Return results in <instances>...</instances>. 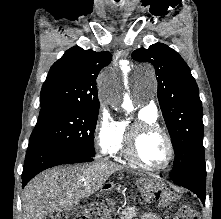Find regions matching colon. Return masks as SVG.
<instances>
[{
	"label": "colon",
	"instance_id": "colon-1",
	"mask_svg": "<svg viewBox=\"0 0 221 219\" xmlns=\"http://www.w3.org/2000/svg\"><path fill=\"white\" fill-rule=\"evenodd\" d=\"M102 213L100 208H76L58 215L57 219H95ZM172 219H198L192 208H181Z\"/></svg>",
	"mask_w": 221,
	"mask_h": 219
}]
</instances>
